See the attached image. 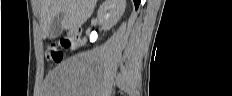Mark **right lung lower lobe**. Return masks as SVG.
Segmentation results:
<instances>
[{"label":"right lung lower lobe","mask_w":232,"mask_h":96,"mask_svg":"<svg viewBox=\"0 0 232 96\" xmlns=\"http://www.w3.org/2000/svg\"><path fill=\"white\" fill-rule=\"evenodd\" d=\"M133 1H134V4H135V8L137 9L141 0H133Z\"/></svg>","instance_id":"1"}]
</instances>
